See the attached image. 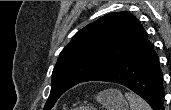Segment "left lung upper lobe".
<instances>
[{
    "instance_id": "left-lung-upper-lobe-1",
    "label": "left lung upper lobe",
    "mask_w": 171,
    "mask_h": 110,
    "mask_svg": "<svg viewBox=\"0 0 171 110\" xmlns=\"http://www.w3.org/2000/svg\"><path fill=\"white\" fill-rule=\"evenodd\" d=\"M146 38L143 26L129 12L109 13L79 30L59 55L44 110L71 87L120 63Z\"/></svg>"
}]
</instances>
